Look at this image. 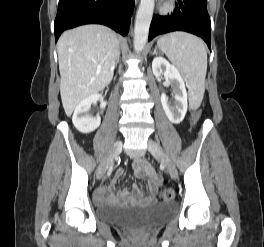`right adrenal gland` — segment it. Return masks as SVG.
<instances>
[{"label":"right adrenal gland","instance_id":"2a0ac1e0","mask_svg":"<svg viewBox=\"0 0 264 247\" xmlns=\"http://www.w3.org/2000/svg\"><path fill=\"white\" fill-rule=\"evenodd\" d=\"M119 59H120V51L118 52V56H117V59H116V62H115V67L117 66L118 62H119Z\"/></svg>","mask_w":264,"mask_h":247}]
</instances>
